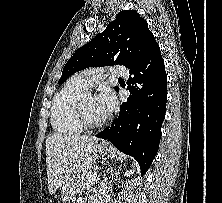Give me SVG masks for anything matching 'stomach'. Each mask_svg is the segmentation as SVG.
<instances>
[{
    "mask_svg": "<svg viewBox=\"0 0 222 203\" xmlns=\"http://www.w3.org/2000/svg\"><path fill=\"white\" fill-rule=\"evenodd\" d=\"M98 151L100 154L107 155L109 157L115 156V151L112 147L99 146ZM80 187V177H74L70 181L66 182L62 188V196L64 199H71L75 196Z\"/></svg>",
    "mask_w": 222,
    "mask_h": 203,
    "instance_id": "1",
    "label": "stomach"
}]
</instances>
